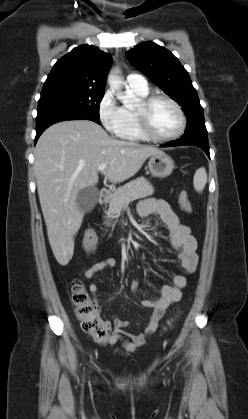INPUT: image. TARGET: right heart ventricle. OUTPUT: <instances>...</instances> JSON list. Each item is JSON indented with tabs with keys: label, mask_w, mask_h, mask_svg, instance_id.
<instances>
[{
	"label": "right heart ventricle",
	"mask_w": 248,
	"mask_h": 419,
	"mask_svg": "<svg viewBox=\"0 0 248 419\" xmlns=\"http://www.w3.org/2000/svg\"><path fill=\"white\" fill-rule=\"evenodd\" d=\"M133 93H135L138 97L145 98L148 96V89L145 91H140L136 89H132ZM125 111V124L122 130V134L120 137H122L125 140L129 141H143L146 140V138L141 134L137 120L135 117V110L130 108H124Z\"/></svg>",
	"instance_id": "e07e8e85"
}]
</instances>
